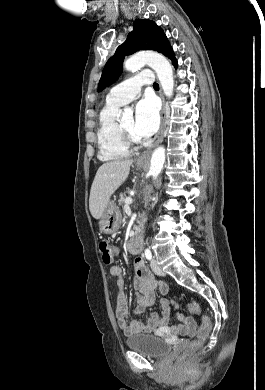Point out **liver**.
<instances>
[{
    "instance_id": "liver-1",
    "label": "liver",
    "mask_w": 265,
    "mask_h": 390,
    "mask_svg": "<svg viewBox=\"0 0 265 390\" xmlns=\"http://www.w3.org/2000/svg\"><path fill=\"white\" fill-rule=\"evenodd\" d=\"M132 164V159H125L106 162L99 167L89 197V209L95 219L101 218L111 195L128 178Z\"/></svg>"
}]
</instances>
